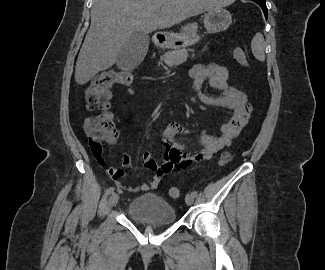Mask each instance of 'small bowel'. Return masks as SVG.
<instances>
[{
  "instance_id": "obj_1",
  "label": "small bowel",
  "mask_w": 325,
  "mask_h": 270,
  "mask_svg": "<svg viewBox=\"0 0 325 270\" xmlns=\"http://www.w3.org/2000/svg\"><path fill=\"white\" fill-rule=\"evenodd\" d=\"M193 79L192 91L196 99L206 106L225 107L232 111L231 118L220 128V135L213 136L204 131H194L179 122H171L163 131L161 144L164 148L165 161L158 164L150 152H144L142 160L144 167L153 173L149 183L136 187H125L119 182L131 169V162L127 156L122 157V167H107L103 156L96 157L97 163L106 168L117 184L131 192H145L155 189L165 174L172 169L185 168L196 160H208L215 153L231 144L247 123L251 106L246 103L245 94L227 81L228 73L219 64H197L190 70ZM211 88L221 91V96H210L202 92L204 83ZM182 136H193L202 148L192 154H185L187 146L180 140Z\"/></svg>"
}]
</instances>
